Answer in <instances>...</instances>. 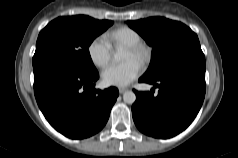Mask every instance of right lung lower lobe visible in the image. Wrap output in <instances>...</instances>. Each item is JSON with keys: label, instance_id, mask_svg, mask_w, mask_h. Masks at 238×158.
I'll return each instance as SVG.
<instances>
[{"label": "right lung lower lobe", "instance_id": "obj_1", "mask_svg": "<svg viewBox=\"0 0 238 158\" xmlns=\"http://www.w3.org/2000/svg\"><path fill=\"white\" fill-rule=\"evenodd\" d=\"M33 72L38 106L58 132L83 139L105 126L119 92L95 89L98 72L85 74L52 57L33 61Z\"/></svg>", "mask_w": 238, "mask_h": 158}]
</instances>
